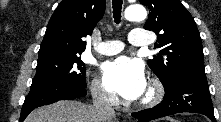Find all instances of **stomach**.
<instances>
[{"instance_id": "stomach-1", "label": "stomach", "mask_w": 221, "mask_h": 122, "mask_svg": "<svg viewBox=\"0 0 221 122\" xmlns=\"http://www.w3.org/2000/svg\"><path fill=\"white\" fill-rule=\"evenodd\" d=\"M170 122H177V121H175V120H173V119H168Z\"/></svg>"}]
</instances>
